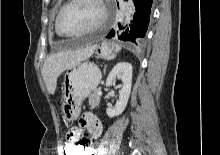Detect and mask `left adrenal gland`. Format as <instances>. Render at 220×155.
Instances as JSON below:
<instances>
[{
	"instance_id": "obj_1",
	"label": "left adrenal gland",
	"mask_w": 220,
	"mask_h": 155,
	"mask_svg": "<svg viewBox=\"0 0 220 155\" xmlns=\"http://www.w3.org/2000/svg\"><path fill=\"white\" fill-rule=\"evenodd\" d=\"M105 70H106V66H105V68H104V73H105Z\"/></svg>"
}]
</instances>
